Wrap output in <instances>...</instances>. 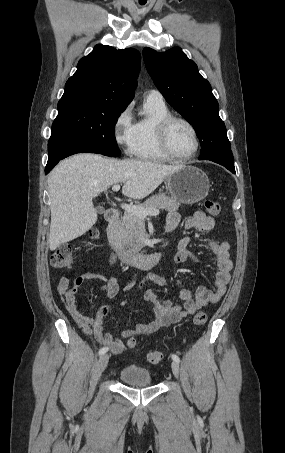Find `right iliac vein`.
<instances>
[{
  "mask_svg": "<svg viewBox=\"0 0 285 453\" xmlns=\"http://www.w3.org/2000/svg\"><path fill=\"white\" fill-rule=\"evenodd\" d=\"M108 361H109V356L107 354H102L99 358V370L100 372H103L107 365H108Z\"/></svg>",
  "mask_w": 285,
  "mask_h": 453,
  "instance_id": "right-iliac-vein-1",
  "label": "right iliac vein"
}]
</instances>
